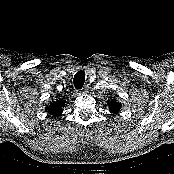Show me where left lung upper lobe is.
<instances>
[{
	"mask_svg": "<svg viewBox=\"0 0 174 174\" xmlns=\"http://www.w3.org/2000/svg\"><path fill=\"white\" fill-rule=\"evenodd\" d=\"M107 104H108L110 112L113 114H117L121 110V107H122L121 103L115 101L114 99L108 100Z\"/></svg>",
	"mask_w": 174,
	"mask_h": 174,
	"instance_id": "left-lung-upper-lobe-1",
	"label": "left lung upper lobe"
}]
</instances>
